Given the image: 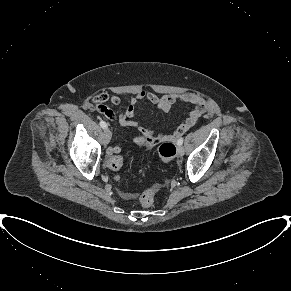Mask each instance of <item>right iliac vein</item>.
I'll return each mask as SVG.
<instances>
[{"label":"right iliac vein","mask_w":291,"mask_h":291,"mask_svg":"<svg viewBox=\"0 0 291 291\" xmlns=\"http://www.w3.org/2000/svg\"><path fill=\"white\" fill-rule=\"evenodd\" d=\"M111 136H112L111 131L108 128H106L104 130V136H103L104 144H108L110 142Z\"/></svg>","instance_id":"1"}]
</instances>
